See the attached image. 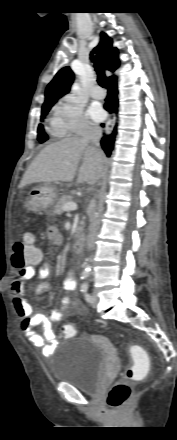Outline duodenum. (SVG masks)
Wrapping results in <instances>:
<instances>
[{
	"label": "duodenum",
	"mask_w": 177,
	"mask_h": 440,
	"mask_svg": "<svg viewBox=\"0 0 177 440\" xmlns=\"http://www.w3.org/2000/svg\"><path fill=\"white\" fill-rule=\"evenodd\" d=\"M83 246H84V238L81 234H79L73 244V250L76 253H81L83 251Z\"/></svg>",
	"instance_id": "duodenum-1"
}]
</instances>
